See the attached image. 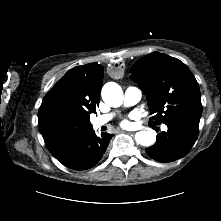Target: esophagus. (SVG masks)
Returning <instances> with one entry per match:
<instances>
[{"label": "esophagus", "instance_id": "34e87169", "mask_svg": "<svg viewBox=\"0 0 221 221\" xmlns=\"http://www.w3.org/2000/svg\"><path fill=\"white\" fill-rule=\"evenodd\" d=\"M120 132H125V131L122 130V131H120ZM128 134H134V133H132V132H128Z\"/></svg>", "mask_w": 221, "mask_h": 221}]
</instances>
